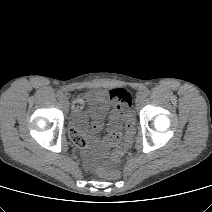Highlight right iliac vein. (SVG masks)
Instances as JSON below:
<instances>
[{"instance_id": "63e3f726", "label": "right iliac vein", "mask_w": 212, "mask_h": 212, "mask_svg": "<svg viewBox=\"0 0 212 212\" xmlns=\"http://www.w3.org/2000/svg\"><path fill=\"white\" fill-rule=\"evenodd\" d=\"M60 100H61V103L64 105L65 109H67L68 108L67 97L63 96Z\"/></svg>"}]
</instances>
